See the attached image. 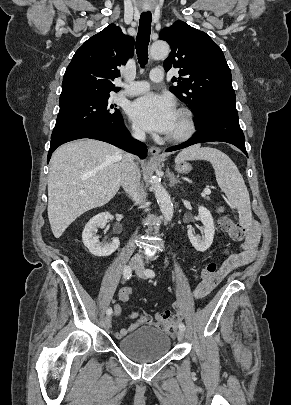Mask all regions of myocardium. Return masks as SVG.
Returning <instances> with one entry per match:
<instances>
[{
	"instance_id": "obj_1",
	"label": "myocardium",
	"mask_w": 291,
	"mask_h": 405,
	"mask_svg": "<svg viewBox=\"0 0 291 405\" xmlns=\"http://www.w3.org/2000/svg\"><path fill=\"white\" fill-rule=\"evenodd\" d=\"M183 119V129L175 134H168L166 140L171 143H182L190 139L196 132V121L194 115L187 108H179L177 110Z\"/></svg>"
}]
</instances>
